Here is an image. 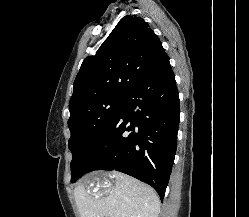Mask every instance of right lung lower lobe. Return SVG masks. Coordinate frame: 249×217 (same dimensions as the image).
<instances>
[{"label":"right lung lower lobe","mask_w":249,"mask_h":217,"mask_svg":"<svg viewBox=\"0 0 249 217\" xmlns=\"http://www.w3.org/2000/svg\"><path fill=\"white\" fill-rule=\"evenodd\" d=\"M179 96L167 54L125 96L119 113L81 166L117 170L152 186L163 200L174 162Z\"/></svg>","instance_id":"obj_1"}]
</instances>
